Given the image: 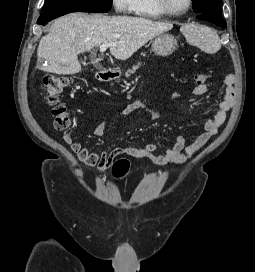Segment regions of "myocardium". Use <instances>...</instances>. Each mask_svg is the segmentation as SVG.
<instances>
[{
  "label": "myocardium",
  "instance_id": "f54148a6",
  "mask_svg": "<svg viewBox=\"0 0 255 272\" xmlns=\"http://www.w3.org/2000/svg\"><path fill=\"white\" fill-rule=\"evenodd\" d=\"M156 1H157V5L159 9L163 12L164 15L173 16V17L182 16L186 14L193 5V0H187V6L184 9L179 11H174L169 7L167 0H156Z\"/></svg>",
  "mask_w": 255,
  "mask_h": 272
}]
</instances>
